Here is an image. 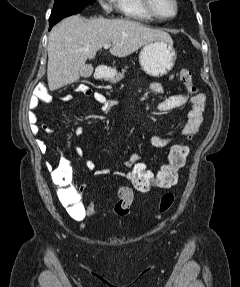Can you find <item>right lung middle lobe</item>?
<instances>
[{"mask_svg":"<svg viewBox=\"0 0 240 287\" xmlns=\"http://www.w3.org/2000/svg\"><path fill=\"white\" fill-rule=\"evenodd\" d=\"M95 0H54L53 10L49 22L65 18L67 16L79 13L87 5L93 4Z\"/></svg>","mask_w":240,"mask_h":287,"instance_id":"right-lung-middle-lobe-1","label":"right lung middle lobe"}]
</instances>
